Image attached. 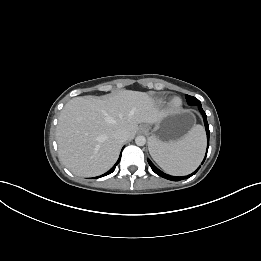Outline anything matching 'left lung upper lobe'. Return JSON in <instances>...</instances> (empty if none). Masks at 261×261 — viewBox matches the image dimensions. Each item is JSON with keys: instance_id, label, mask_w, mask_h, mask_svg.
<instances>
[{"instance_id": "5c2ea615", "label": "left lung upper lobe", "mask_w": 261, "mask_h": 261, "mask_svg": "<svg viewBox=\"0 0 261 261\" xmlns=\"http://www.w3.org/2000/svg\"><path fill=\"white\" fill-rule=\"evenodd\" d=\"M185 97L189 105H197L198 107L201 106V103L197 98L189 95H185Z\"/></svg>"}]
</instances>
